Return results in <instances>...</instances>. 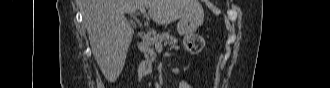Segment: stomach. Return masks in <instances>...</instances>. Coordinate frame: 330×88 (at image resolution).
<instances>
[{"mask_svg": "<svg viewBox=\"0 0 330 88\" xmlns=\"http://www.w3.org/2000/svg\"><path fill=\"white\" fill-rule=\"evenodd\" d=\"M204 13L201 12L182 17L177 24V31L180 35L191 34L203 23Z\"/></svg>", "mask_w": 330, "mask_h": 88, "instance_id": "1", "label": "stomach"}]
</instances>
